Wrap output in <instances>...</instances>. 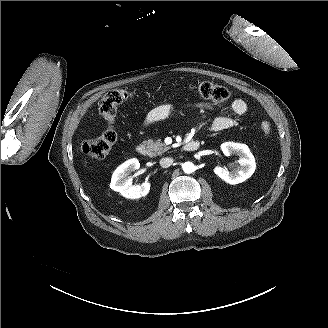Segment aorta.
Masks as SVG:
<instances>
[{
    "label": "aorta",
    "mask_w": 328,
    "mask_h": 328,
    "mask_svg": "<svg viewBox=\"0 0 328 328\" xmlns=\"http://www.w3.org/2000/svg\"><path fill=\"white\" fill-rule=\"evenodd\" d=\"M183 171L187 174H190L195 171V166L192 162H185L182 165Z\"/></svg>",
    "instance_id": "aorta-1"
}]
</instances>
